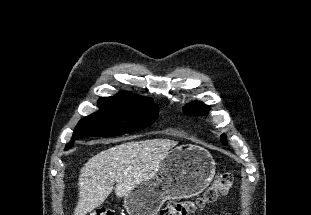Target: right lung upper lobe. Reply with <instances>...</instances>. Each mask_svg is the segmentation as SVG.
I'll use <instances>...</instances> for the list:
<instances>
[{
  "label": "right lung upper lobe",
  "instance_id": "right-lung-upper-lobe-1",
  "mask_svg": "<svg viewBox=\"0 0 311 215\" xmlns=\"http://www.w3.org/2000/svg\"><path fill=\"white\" fill-rule=\"evenodd\" d=\"M106 98H115L120 100H126V101H133V102H153L152 98L149 97H142L131 93H119L116 96L113 97H106Z\"/></svg>",
  "mask_w": 311,
  "mask_h": 215
}]
</instances>
